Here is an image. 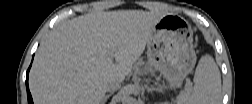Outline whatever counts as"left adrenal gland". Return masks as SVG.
Returning <instances> with one entry per match:
<instances>
[{
    "label": "left adrenal gland",
    "instance_id": "obj_1",
    "mask_svg": "<svg viewBox=\"0 0 252 104\" xmlns=\"http://www.w3.org/2000/svg\"><path fill=\"white\" fill-rule=\"evenodd\" d=\"M145 88H146L147 92H152V91H161V89H159V88H155L154 86H148V85H145Z\"/></svg>",
    "mask_w": 252,
    "mask_h": 104
}]
</instances>
